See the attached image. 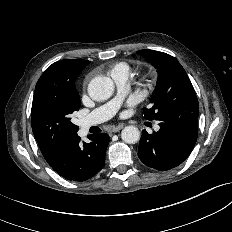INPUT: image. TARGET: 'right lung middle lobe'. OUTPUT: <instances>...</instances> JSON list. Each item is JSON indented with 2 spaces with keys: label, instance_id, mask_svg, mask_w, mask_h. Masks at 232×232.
I'll return each instance as SVG.
<instances>
[{
  "label": "right lung middle lobe",
  "instance_id": "dd1d6c3e",
  "mask_svg": "<svg viewBox=\"0 0 232 232\" xmlns=\"http://www.w3.org/2000/svg\"><path fill=\"white\" fill-rule=\"evenodd\" d=\"M85 68L43 73L32 102L31 125L40 149L51 150L77 134L79 127L71 122L72 113L80 108L75 81Z\"/></svg>",
  "mask_w": 232,
  "mask_h": 232
}]
</instances>
